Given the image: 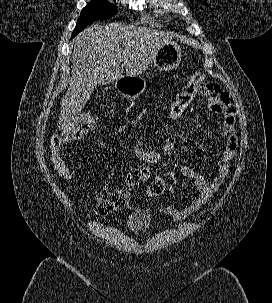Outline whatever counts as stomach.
I'll list each match as a JSON object with an SVG mask.
<instances>
[{"label": "stomach", "mask_w": 272, "mask_h": 303, "mask_svg": "<svg viewBox=\"0 0 272 303\" xmlns=\"http://www.w3.org/2000/svg\"><path fill=\"white\" fill-rule=\"evenodd\" d=\"M182 51L175 42L164 44L157 52L154 66L160 71H170L178 67ZM116 89L127 99H135L144 90V82L140 77H123L115 83Z\"/></svg>", "instance_id": "stomach-1"}]
</instances>
